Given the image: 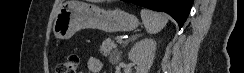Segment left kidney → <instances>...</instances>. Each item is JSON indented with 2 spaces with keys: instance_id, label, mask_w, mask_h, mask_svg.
<instances>
[{
  "instance_id": "left-kidney-1",
  "label": "left kidney",
  "mask_w": 244,
  "mask_h": 73,
  "mask_svg": "<svg viewBox=\"0 0 244 73\" xmlns=\"http://www.w3.org/2000/svg\"><path fill=\"white\" fill-rule=\"evenodd\" d=\"M156 51V41L151 38L142 39L129 51L128 58L137 65V73H148Z\"/></svg>"
}]
</instances>
